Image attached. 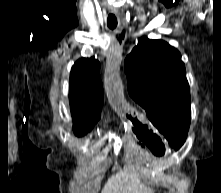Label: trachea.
<instances>
[{
  "label": "trachea",
  "instance_id": "obj_1",
  "mask_svg": "<svg viewBox=\"0 0 221 193\" xmlns=\"http://www.w3.org/2000/svg\"><path fill=\"white\" fill-rule=\"evenodd\" d=\"M107 25L110 29H115L117 26V18L114 14H109L107 18Z\"/></svg>",
  "mask_w": 221,
  "mask_h": 193
}]
</instances>
